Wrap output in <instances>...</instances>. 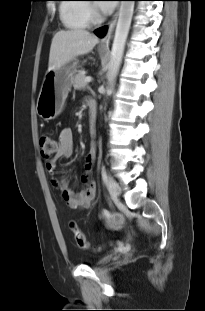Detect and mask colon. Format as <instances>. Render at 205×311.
Masks as SVG:
<instances>
[{
    "instance_id": "5ec220e1",
    "label": "colon",
    "mask_w": 205,
    "mask_h": 311,
    "mask_svg": "<svg viewBox=\"0 0 205 311\" xmlns=\"http://www.w3.org/2000/svg\"><path fill=\"white\" fill-rule=\"evenodd\" d=\"M40 148L42 158L48 161L59 150V142L52 135L44 134L40 138ZM70 227L77 247L84 250L89 249L90 244L79 227L74 222L70 224Z\"/></svg>"
}]
</instances>
